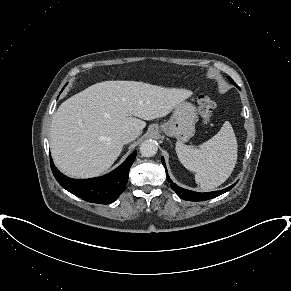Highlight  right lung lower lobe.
I'll return each mask as SVG.
<instances>
[{"label":"right lung lower lobe","instance_id":"obj_1","mask_svg":"<svg viewBox=\"0 0 291 291\" xmlns=\"http://www.w3.org/2000/svg\"><path fill=\"white\" fill-rule=\"evenodd\" d=\"M136 153L135 150L118 168L109 174L92 179L68 178L59 172L52 159L50 163L54 177L64 189L88 202L110 204L125 190L129 170L135 160Z\"/></svg>","mask_w":291,"mask_h":291}]
</instances>
